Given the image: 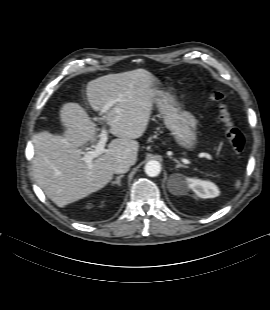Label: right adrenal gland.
Segmentation results:
<instances>
[{"instance_id":"right-adrenal-gland-1","label":"right adrenal gland","mask_w":270,"mask_h":310,"mask_svg":"<svg viewBox=\"0 0 270 310\" xmlns=\"http://www.w3.org/2000/svg\"><path fill=\"white\" fill-rule=\"evenodd\" d=\"M123 177H124V175L117 176L116 180L111 182V185L117 184L118 186H121V178H123Z\"/></svg>"}]
</instances>
